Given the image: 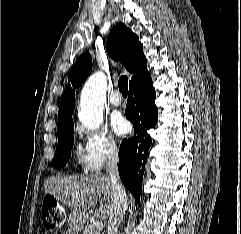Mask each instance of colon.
Masks as SVG:
<instances>
[{"instance_id": "1", "label": "colon", "mask_w": 241, "mask_h": 234, "mask_svg": "<svg viewBox=\"0 0 241 234\" xmlns=\"http://www.w3.org/2000/svg\"><path fill=\"white\" fill-rule=\"evenodd\" d=\"M42 222L48 229H56L65 222V212L53 197H45L42 203Z\"/></svg>"}]
</instances>
